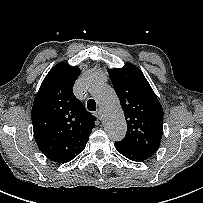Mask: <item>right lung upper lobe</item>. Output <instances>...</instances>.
<instances>
[{
	"mask_svg": "<svg viewBox=\"0 0 203 203\" xmlns=\"http://www.w3.org/2000/svg\"><path fill=\"white\" fill-rule=\"evenodd\" d=\"M79 67L55 65L43 80L32 107L34 137L50 160L66 163L86 146L96 118L73 94Z\"/></svg>",
	"mask_w": 203,
	"mask_h": 203,
	"instance_id": "right-lung-upper-lobe-1",
	"label": "right lung upper lobe"
}]
</instances>
